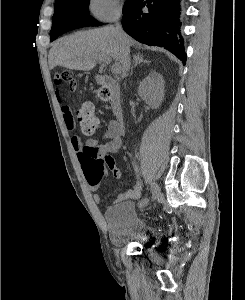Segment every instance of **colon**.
I'll use <instances>...</instances> for the list:
<instances>
[{"instance_id": "1", "label": "colon", "mask_w": 245, "mask_h": 300, "mask_svg": "<svg viewBox=\"0 0 245 300\" xmlns=\"http://www.w3.org/2000/svg\"><path fill=\"white\" fill-rule=\"evenodd\" d=\"M54 83L56 86L66 84L70 91L77 88V80L73 73L68 70L57 72L54 75ZM97 95L101 100H108L111 91L106 87H102L98 90ZM76 118L85 135L95 134L98 128V119L91 103H83L76 111ZM82 168L90 184H97L102 176L103 160L97 157L94 149L87 150L82 156Z\"/></svg>"}]
</instances>
